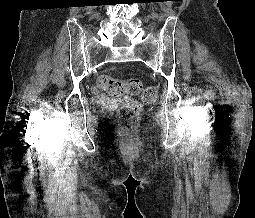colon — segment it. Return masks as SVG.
Returning <instances> with one entry per match:
<instances>
[{
  "label": "colon",
  "mask_w": 255,
  "mask_h": 218,
  "mask_svg": "<svg viewBox=\"0 0 255 218\" xmlns=\"http://www.w3.org/2000/svg\"><path fill=\"white\" fill-rule=\"evenodd\" d=\"M100 87L109 95L120 99L119 118L123 128L127 129L141 111V105L133 98L142 92V101L152 103L157 98V90L154 86L145 89L139 79L118 80L110 77H102L99 80Z\"/></svg>",
  "instance_id": "colon-1"
}]
</instances>
